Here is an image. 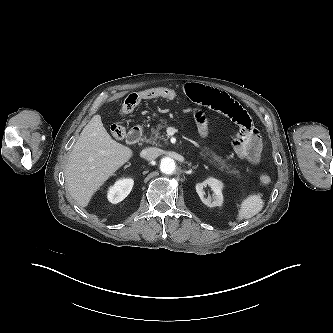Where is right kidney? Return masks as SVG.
<instances>
[{
  "instance_id": "obj_1",
  "label": "right kidney",
  "mask_w": 333,
  "mask_h": 333,
  "mask_svg": "<svg viewBox=\"0 0 333 333\" xmlns=\"http://www.w3.org/2000/svg\"><path fill=\"white\" fill-rule=\"evenodd\" d=\"M133 184L134 181L130 178L120 179L116 181L115 184L111 186L108 190V200L113 204L121 202L131 192Z\"/></svg>"
}]
</instances>
